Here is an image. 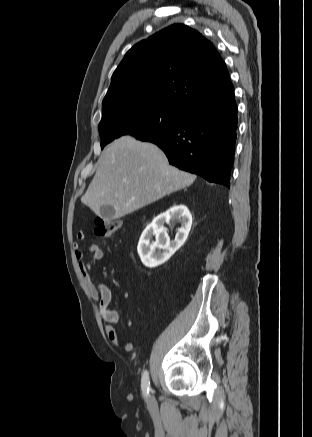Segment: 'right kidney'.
I'll return each instance as SVG.
<instances>
[{"instance_id": "1", "label": "right kidney", "mask_w": 312, "mask_h": 437, "mask_svg": "<svg viewBox=\"0 0 312 437\" xmlns=\"http://www.w3.org/2000/svg\"><path fill=\"white\" fill-rule=\"evenodd\" d=\"M176 220L181 223L175 240L170 241L165 223ZM192 225V216L184 205L173 206L157 216L143 231L139 243L138 254L146 267L154 268L165 263L186 241ZM152 235L156 241L150 244ZM159 250L156 252V250ZM160 250H163L162 252Z\"/></svg>"}]
</instances>
